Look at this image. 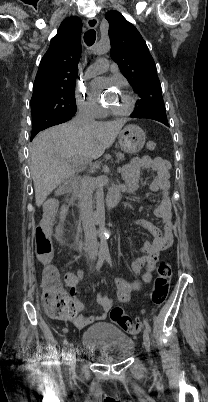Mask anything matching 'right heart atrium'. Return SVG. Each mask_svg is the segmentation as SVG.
I'll list each match as a JSON object with an SVG mask.
<instances>
[{
    "label": "right heart atrium",
    "mask_w": 208,
    "mask_h": 402,
    "mask_svg": "<svg viewBox=\"0 0 208 402\" xmlns=\"http://www.w3.org/2000/svg\"><path fill=\"white\" fill-rule=\"evenodd\" d=\"M75 98L79 108L92 119H99L104 115V110L98 99L93 96L86 87L77 86Z\"/></svg>",
    "instance_id": "right-heart-atrium-1"
}]
</instances>
